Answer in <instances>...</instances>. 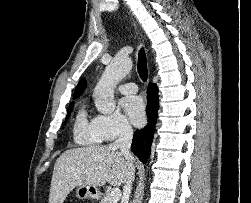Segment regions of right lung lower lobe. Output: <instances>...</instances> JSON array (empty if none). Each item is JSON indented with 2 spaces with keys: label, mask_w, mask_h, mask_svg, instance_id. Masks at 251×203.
I'll return each mask as SVG.
<instances>
[{
  "label": "right lung lower lobe",
  "mask_w": 251,
  "mask_h": 203,
  "mask_svg": "<svg viewBox=\"0 0 251 203\" xmlns=\"http://www.w3.org/2000/svg\"><path fill=\"white\" fill-rule=\"evenodd\" d=\"M148 104L146 113L148 124L145 128L137 130L133 136L131 145L132 152L145 163L150 155L151 142L153 139L155 124L157 120V112L159 106L158 87L155 83H149L147 89Z\"/></svg>",
  "instance_id": "right-lung-lower-lobe-1"
}]
</instances>
